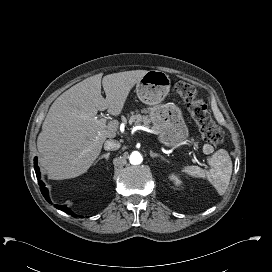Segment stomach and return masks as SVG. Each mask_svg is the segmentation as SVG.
I'll use <instances>...</instances> for the list:
<instances>
[{
  "label": "stomach",
  "mask_w": 272,
  "mask_h": 272,
  "mask_svg": "<svg viewBox=\"0 0 272 272\" xmlns=\"http://www.w3.org/2000/svg\"><path fill=\"white\" fill-rule=\"evenodd\" d=\"M170 85L171 80L165 72L151 70L136 83L135 91L139 100L150 106V122L158 133L159 141L174 147L188 138L189 131L178 106L161 104L169 93Z\"/></svg>",
  "instance_id": "1"
}]
</instances>
